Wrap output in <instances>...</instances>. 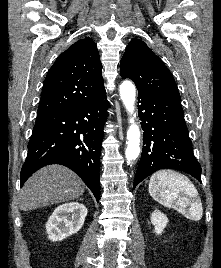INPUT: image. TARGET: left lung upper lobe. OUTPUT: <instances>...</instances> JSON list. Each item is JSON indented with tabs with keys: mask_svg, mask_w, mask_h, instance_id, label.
I'll return each instance as SVG.
<instances>
[{
	"mask_svg": "<svg viewBox=\"0 0 221 268\" xmlns=\"http://www.w3.org/2000/svg\"><path fill=\"white\" fill-rule=\"evenodd\" d=\"M120 74L136 84L139 94L180 100L173 75L141 40L133 39L121 59Z\"/></svg>",
	"mask_w": 221,
	"mask_h": 268,
	"instance_id": "5c2ea615",
	"label": "left lung upper lobe"
}]
</instances>
